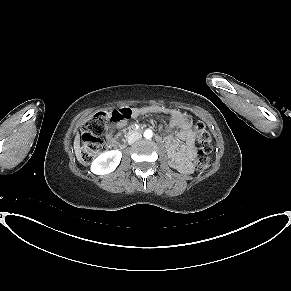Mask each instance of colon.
I'll return each instance as SVG.
<instances>
[{"instance_id":"colon-1","label":"colon","mask_w":291,"mask_h":291,"mask_svg":"<svg viewBox=\"0 0 291 291\" xmlns=\"http://www.w3.org/2000/svg\"><path fill=\"white\" fill-rule=\"evenodd\" d=\"M131 114L132 111L129 108L101 111L94 114L84 124L81 139V161L83 164L89 165L97 155L105 150V144L100 137L106 131L109 122L129 119ZM186 118L192 122L189 116H186ZM194 126L198 133L197 145L199 148L194 166L197 171H203L210 166L209 153L212 150V139L210 133L205 129L201 121H197Z\"/></svg>"}]
</instances>
